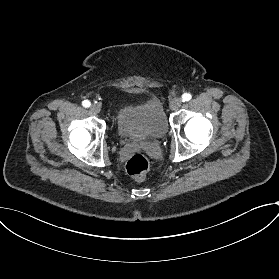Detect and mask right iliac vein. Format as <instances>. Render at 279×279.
I'll return each instance as SVG.
<instances>
[{
  "instance_id": "right-iliac-vein-1",
  "label": "right iliac vein",
  "mask_w": 279,
  "mask_h": 279,
  "mask_svg": "<svg viewBox=\"0 0 279 279\" xmlns=\"http://www.w3.org/2000/svg\"><path fill=\"white\" fill-rule=\"evenodd\" d=\"M101 111V106L100 104L98 103H93L91 106H90V112L93 113V114H99Z\"/></svg>"
}]
</instances>
